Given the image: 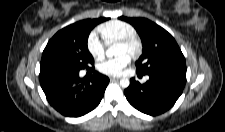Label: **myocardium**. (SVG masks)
<instances>
[{
    "label": "myocardium",
    "instance_id": "myocardium-1",
    "mask_svg": "<svg viewBox=\"0 0 225 132\" xmlns=\"http://www.w3.org/2000/svg\"><path fill=\"white\" fill-rule=\"evenodd\" d=\"M117 44L127 47L130 50V55L133 58L139 57L143 50L142 42L136 35L123 38L119 40Z\"/></svg>",
    "mask_w": 225,
    "mask_h": 132
}]
</instances>
